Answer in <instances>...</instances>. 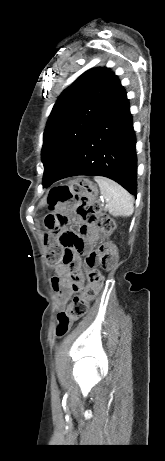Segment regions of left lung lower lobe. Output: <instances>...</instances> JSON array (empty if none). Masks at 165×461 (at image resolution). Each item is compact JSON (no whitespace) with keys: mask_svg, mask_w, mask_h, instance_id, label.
<instances>
[{"mask_svg":"<svg viewBox=\"0 0 165 461\" xmlns=\"http://www.w3.org/2000/svg\"><path fill=\"white\" fill-rule=\"evenodd\" d=\"M135 145L132 115L122 88L82 138L51 184L71 176H104L136 195Z\"/></svg>","mask_w":165,"mask_h":461,"instance_id":"0a47b994","label":"left lung lower lobe"}]
</instances>
